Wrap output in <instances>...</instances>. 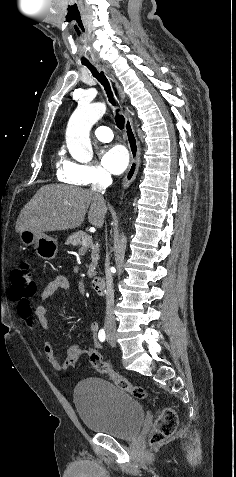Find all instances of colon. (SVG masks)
<instances>
[{"label":"colon","instance_id":"obj_1","mask_svg":"<svg viewBox=\"0 0 236 477\" xmlns=\"http://www.w3.org/2000/svg\"><path fill=\"white\" fill-rule=\"evenodd\" d=\"M36 290V284L31 277L29 266L26 263H20L14 267L11 271L9 297L17 302L18 312L23 313L31 308V299L35 296ZM88 360L97 371L107 374L119 388L139 399L147 398V393L142 387L136 386L124 377L115 374L109 362L103 360L98 354L89 353ZM177 425L178 419L175 412L171 409H164L156 421L151 442L158 444L165 441L174 434Z\"/></svg>","mask_w":236,"mask_h":477}]
</instances>
